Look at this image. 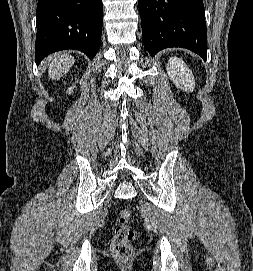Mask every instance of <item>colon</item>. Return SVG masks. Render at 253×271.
Wrapping results in <instances>:
<instances>
[{
	"label": "colon",
	"mask_w": 253,
	"mask_h": 271,
	"mask_svg": "<svg viewBox=\"0 0 253 271\" xmlns=\"http://www.w3.org/2000/svg\"><path fill=\"white\" fill-rule=\"evenodd\" d=\"M131 220L132 212L129 209L121 210L117 219L118 225L111 240L113 253L122 260H128L133 254L131 243L136 238V232L130 226Z\"/></svg>",
	"instance_id": "colon-1"
}]
</instances>
